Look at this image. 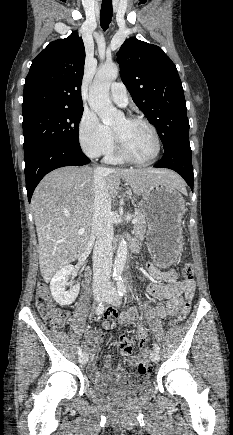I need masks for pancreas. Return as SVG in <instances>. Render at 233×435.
Listing matches in <instances>:
<instances>
[{
    "instance_id": "cf45deb5",
    "label": "pancreas",
    "mask_w": 233,
    "mask_h": 435,
    "mask_svg": "<svg viewBox=\"0 0 233 435\" xmlns=\"http://www.w3.org/2000/svg\"><path fill=\"white\" fill-rule=\"evenodd\" d=\"M133 217L137 219V222L134 224L133 227L134 234L137 238L142 239L144 237L147 225L145 215L140 210H136Z\"/></svg>"
}]
</instances>
